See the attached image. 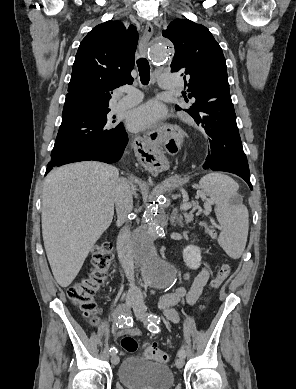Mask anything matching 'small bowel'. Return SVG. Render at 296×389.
Wrapping results in <instances>:
<instances>
[{"label": "small bowel", "instance_id": "c3829d8e", "mask_svg": "<svg viewBox=\"0 0 296 389\" xmlns=\"http://www.w3.org/2000/svg\"><path fill=\"white\" fill-rule=\"evenodd\" d=\"M210 277L209 270L206 267H203L197 276L193 279L191 285L189 288L186 287H179L174 292L169 293L162 297L160 300V308L165 312L166 317L174 322L177 323L179 321V315L175 311L174 307L181 302L182 300H185L188 304L193 305L198 300L199 296L201 295L204 286L207 284ZM184 278L186 280L189 279V274L185 273ZM129 333L133 335H138L139 331L137 329H130L128 330ZM124 331H120L118 335H122Z\"/></svg>", "mask_w": 296, "mask_h": 389}]
</instances>
